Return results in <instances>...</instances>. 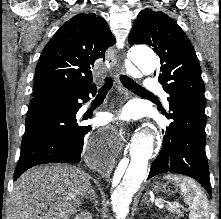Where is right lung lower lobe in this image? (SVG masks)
<instances>
[{"label":"right lung lower lobe","instance_id":"1","mask_svg":"<svg viewBox=\"0 0 221 219\" xmlns=\"http://www.w3.org/2000/svg\"><path fill=\"white\" fill-rule=\"evenodd\" d=\"M90 94H96V87L31 99L14 180L39 164L77 163L81 160L83 145L88 139L91 126H81V120L76 119V114L83 103L90 99ZM92 147L94 158H97L102 148L97 142Z\"/></svg>","mask_w":221,"mask_h":219}]
</instances>
